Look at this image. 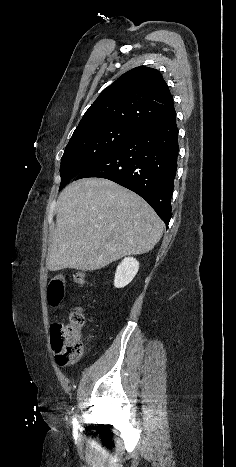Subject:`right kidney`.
<instances>
[{
  "label": "right kidney",
  "mask_w": 236,
  "mask_h": 467,
  "mask_svg": "<svg viewBox=\"0 0 236 467\" xmlns=\"http://www.w3.org/2000/svg\"><path fill=\"white\" fill-rule=\"evenodd\" d=\"M139 270V262L133 258H125L117 267L114 279L116 288H123L128 285Z\"/></svg>",
  "instance_id": "obj_1"
}]
</instances>
